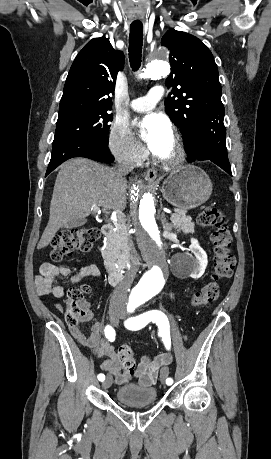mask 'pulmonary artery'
<instances>
[{"label":"pulmonary artery","instance_id":"pulmonary-artery-1","mask_svg":"<svg viewBox=\"0 0 271 459\" xmlns=\"http://www.w3.org/2000/svg\"><path fill=\"white\" fill-rule=\"evenodd\" d=\"M148 94L149 95H146L145 97L138 98L137 100L131 102V108L137 112L151 111L155 107V104L160 103L162 91L160 89H150Z\"/></svg>","mask_w":271,"mask_h":459}]
</instances>
